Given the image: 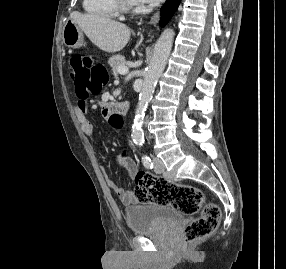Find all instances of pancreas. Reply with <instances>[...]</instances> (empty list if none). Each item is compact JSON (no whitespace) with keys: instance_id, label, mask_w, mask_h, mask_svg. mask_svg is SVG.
Listing matches in <instances>:
<instances>
[{"instance_id":"1","label":"pancreas","mask_w":286,"mask_h":269,"mask_svg":"<svg viewBox=\"0 0 286 269\" xmlns=\"http://www.w3.org/2000/svg\"><path fill=\"white\" fill-rule=\"evenodd\" d=\"M110 67L112 68V72L114 75L118 74V69L120 67H125L127 65V62L124 58V56L121 55H115L111 57L108 61Z\"/></svg>"}]
</instances>
